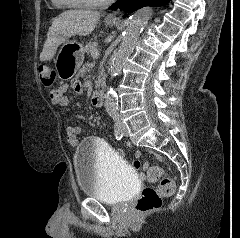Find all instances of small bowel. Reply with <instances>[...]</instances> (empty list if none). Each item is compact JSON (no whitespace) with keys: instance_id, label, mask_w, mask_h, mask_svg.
Returning <instances> with one entry per match:
<instances>
[{"instance_id":"1","label":"small bowel","mask_w":240,"mask_h":238,"mask_svg":"<svg viewBox=\"0 0 240 238\" xmlns=\"http://www.w3.org/2000/svg\"><path fill=\"white\" fill-rule=\"evenodd\" d=\"M69 88L75 93L81 94L83 92L82 84L78 80H73L70 84H62L50 93V99L53 105L59 107H66L69 105V99L66 95ZM81 133L80 126H68L66 129L67 142L71 146H76L79 142L78 135ZM127 148H136V143H127ZM119 154H126V149H119ZM140 156H143V151H134V156L131 159V167H134L136 171L143 174L147 170L148 163L142 164Z\"/></svg>"}]
</instances>
